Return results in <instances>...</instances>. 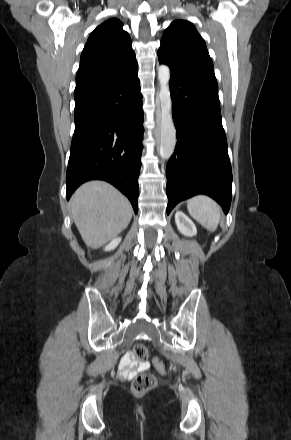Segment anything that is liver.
Segmentation results:
<instances>
[{"label":"liver","mask_w":291,"mask_h":440,"mask_svg":"<svg viewBox=\"0 0 291 440\" xmlns=\"http://www.w3.org/2000/svg\"><path fill=\"white\" fill-rule=\"evenodd\" d=\"M72 217L87 245L98 249L121 233L132 217L128 199L104 181L80 186L71 201Z\"/></svg>","instance_id":"6515ba94"}]
</instances>
